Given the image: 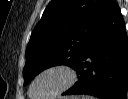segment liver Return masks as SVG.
<instances>
[{
    "mask_svg": "<svg viewBox=\"0 0 128 99\" xmlns=\"http://www.w3.org/2000/svg\"><path fill=\"white\" fill-rule=\"evenodd\" d=\"M72 99H74V97H72ZM75 99H78V97H75ZM84 99V98H83Z\"/></svg>",
    "mask_w": 128,
    "mask_h": 99,
    "instance_id": "obj_1",
    "label": "liver"
}]
</instances>
